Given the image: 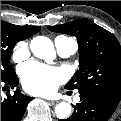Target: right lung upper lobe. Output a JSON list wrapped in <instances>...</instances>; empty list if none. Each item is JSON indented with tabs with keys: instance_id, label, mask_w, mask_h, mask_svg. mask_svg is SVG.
<instances>
[{
	"instance_id": "obj_1",
	"label": "right lung upper lobe",
	"mask_w": 121,
	"mask_h": 121,
	"mask_svg": "<svg viewBox=\"0 0 121 121\" xmlns=\"http://www.w3.org/2000/svg\"><path fill=\"white\" fill-rule=\"evenodd\" d=\"M22 28L25 30L28 37L32 36L33 34H36L40 30L39 26H36V27H22Z\"/></svg>"
}]
</instances>
